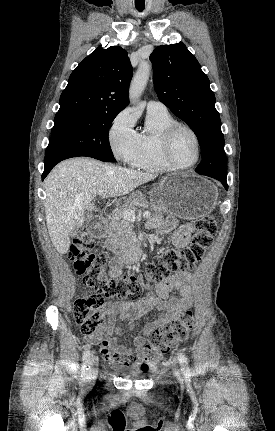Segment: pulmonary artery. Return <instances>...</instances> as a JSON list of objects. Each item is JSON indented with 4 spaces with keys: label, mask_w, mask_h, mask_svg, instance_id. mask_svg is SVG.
<instances>
[{
    "label": "pulmonary artery",
    "mask_w": 275,
    "mask_h": 431,
    "mask_svg": "<svg viewBox=\"0 0 275 431\" xmlns=\"http://www.w3.org/2000/svg\"><path fill=\"white\" fill-rule=\"evenodd\" d=\"M147 111H167V108L160 101L150 100L147 103Z\"/></svg>",
    "instance_id": "obj_1"
}]
</instances>
